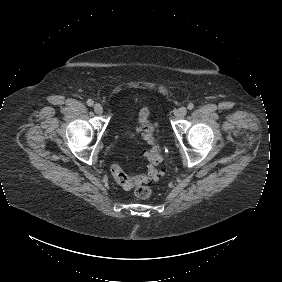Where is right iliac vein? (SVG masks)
I'll list each match as a JSON object with an SVG mask.
<instances>
[{"label":"right iliac vein","instance_id":"1","mask_svg":"<svg viewBox=\"0 0 282 282\" xmlns=\"http://www.w3.org/2000/svg\"><path fill=\"white\" fill-rule=\"evenodd\" d=\"M93 108H94L95 113L102 114L103 108L100 104L98 103L94 104Z\"/></svg>","mask_w":282,"mask_h":282}]
</instances>
